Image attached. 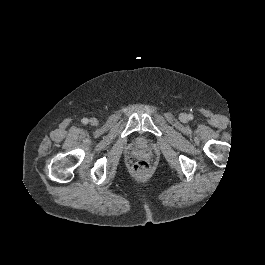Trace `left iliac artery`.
<instances>
[{"mask_svg":"<svg viewBox=\"0 0 265 265\" xmlns=\"http://www.w3.org/2000/svg\"><path fill=\"white\" fill-rule=\"evenodd\" d=\"M188 119H189V120H192V119H193V115H192V114H189V115H188Z\"/></svg>","mask_w":265,"mask_h":265,"instance_id":"obj_1","label":"left iliac artery"}]
</instances>
